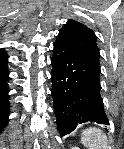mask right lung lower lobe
<instances>
[{"label":"right lung lower lobe","mask_w":124,"mask_h":149,"mask_svg":"<svg viewBox=\"0 0 124 149\" xmlns=\"http://www.w3.org/2000/svg\"><path fill=\"white\" fill-rule=\"evenodd\" d=\"M7 59L5 53L0 51V132L6 126L9 116Z\"/></svg>","instance_id":"right-lung-lower-lobe-1"}]
</instances>
